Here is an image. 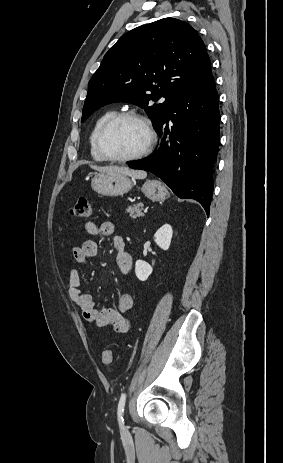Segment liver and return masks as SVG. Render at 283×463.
<instances>
[{"instance_id":"obj_1","label":"liver","mask_w":283,"mask_h":463,"mask_svg":"<svg viewBox=\"0 0 283 463\" xmlns=\"http://www.w3.org/2000/svg\"><path fill=\"white\" fill-rule=\"evenodd\" d=\"M92 169L99 171L101 173H116V174H123L126 176H130L133 179H144L147 176V173L142 170H133L129 169L128 167H119V166H91Z\"/></svg>"}]
</instances>
